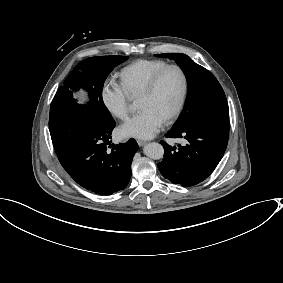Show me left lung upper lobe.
I'll list each match as a JSON object with an SVG mask.
<instances>
[{"instance_id": "left-lung-upper-lobe-1", "label": "left lung upper lobe", "mask_w": 283, "mask_h": 283, "mask_svg": "<svg viewBox=\"0 0 283 283\" xmlns=\"http://www.w3.org/2000/svg\"><path fill=\"white\" fill-rule=\"evenodd\" d=\"M159 56L175 60L188 81L186 103L172 129H185L206 122L229 121L225 93L210 71L196 64L185 54L165 53Z\"/></svg>"}]
</instances>
